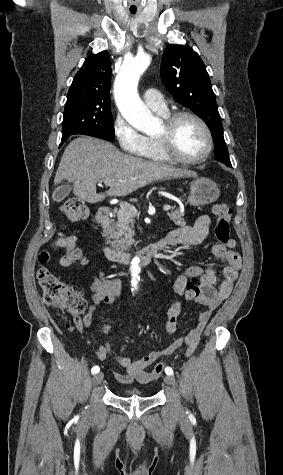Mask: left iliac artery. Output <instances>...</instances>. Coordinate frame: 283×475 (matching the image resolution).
Wrapping results in <instances>:
<instances>
[{
  "label": "left iliac artery",
  "instance_id": "1",
  "mask_svg": "<svg viewBox=\"0 0 283 475\" xmlns=\"http://www.w3.org/2000/svg\"><path fill=\"white\" fill-rule=\"evenodd\" d=\"M165 373H166L167 375H173V370H172V368L166 367V368H165Z\"/></svg>",
  "mask_w": 283,
  "mask_h": 475
}]
</instances>
